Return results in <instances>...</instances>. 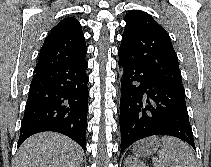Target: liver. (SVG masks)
<instances>
[{
  "label": "liver",
  "mask_w": 211,
  "mask_h": 167,
  "mask_svg": "<svg viewBox=\"0 0 211 167\" xmlns=\"http://www.w3.org/2000/svg\"><path fill=\"white\" fill-rule=\"evenodd\" d=\"M83 155L82 148L70 138L43 132L24 141L13 164L14 167H79Z\"/></svg>",
  "instance_id": "liver-1"
}]
</instances>
